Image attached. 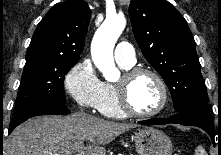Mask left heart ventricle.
<instances>
[{"label": "left heart ventricle", "mask_w": 221, "mask_h": 155, "mask_svg": "<svg viewBox=\"0 0 221 155\" xmlns=\"http://www.w3.org/2000/svg\"><path fill=\"white\" fill-rule=\"evenodd\" d=\"M129 97L131 104L139 112L154 111L162 99L158 83L148 74H142L132 82Z\"/></svg>", "instance_id": "b2bd125f"}]
</instances>
